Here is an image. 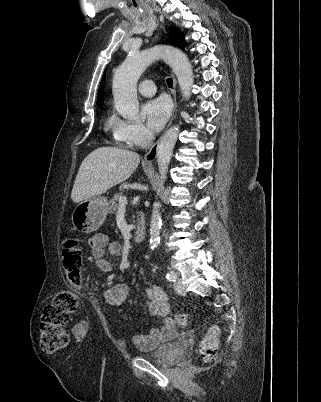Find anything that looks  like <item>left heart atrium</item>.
<instances>
[{"mask_svg":"<svg viewBox=\"0 0 321 402\" xmlns=\"http://www.w3.org/2000/svg\"><path fill=\"white\" fill-rule=\"evenodd\" d=\"M143 114L148 128L153 131H159L171 113V104L165 97H159L147 101L143 106Z\"/></svg>","mask_w":321,"mask_h":402,"instance_id":"39dd6f15","label":"left heart atrium"}]
</instances>
